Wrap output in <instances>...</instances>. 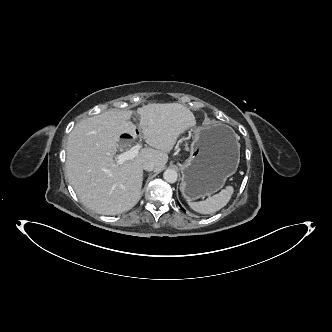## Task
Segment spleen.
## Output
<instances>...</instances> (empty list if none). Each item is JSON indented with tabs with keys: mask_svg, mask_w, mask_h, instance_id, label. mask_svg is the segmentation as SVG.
I'll return each mask as SVG.
<instances>
[{
	"mask_svg": "<svg viewBox=\"0 0 332 332\" xmlns=\"http://www.w3.org/2000/svg\"><path fill=\"white\" fill-rule=\"evenodd\" d=\"M233 187L227 186L221 190L218 194L207 198L204 201L192 202L189 201V206L196 212L201 214H211L219 211L221 208L227 205L233 194Z\"/></svg>",
	"mask_w": 332,
	"mask_h": 332,
	"instance_id": "obj_1",
	"label": "spleen"
}]
</instances>
